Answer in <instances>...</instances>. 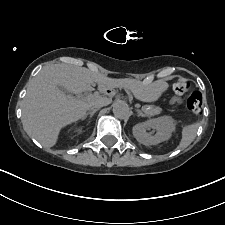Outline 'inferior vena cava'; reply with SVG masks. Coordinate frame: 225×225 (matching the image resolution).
<instances>
[{
	"label": "inferior vena cava",
	"mask_w": 225,
	"mask_h": 225,
	"mask_svg": "<svg viewBox=\"0 0 225 225\" xmlns=\"http://www.w3.org/2000/svg\"><path fill=\"white\" fill-rule=\"evenodd\" d=\"M105 105H106L105 99L100 97L89 107V110L93 111L96 109H100L101 107H103Z\"/></svg>",
	"instance_id": "obj_1"
}]
</instances>
